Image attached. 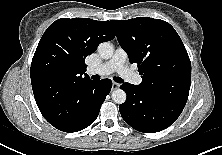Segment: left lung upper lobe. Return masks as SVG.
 <instances>
[{
  "label": "left lung upper lobe",
  "instance_id": "obj_1",
  "mask_svg": "<svg viewBox=\"0 0 222 155\" xmlns=\"http://www.w3.org/2000/svg\"><path fill=\"white\" fill-rule=\"evenodd\" d=\"M130 63H137L147 93L185 105L191 83V62L183 42L167 22L148 17L111 20Z\"/></svg>",
  "mask_w": 222,
  "mask_h": 155
}]
</instances>
